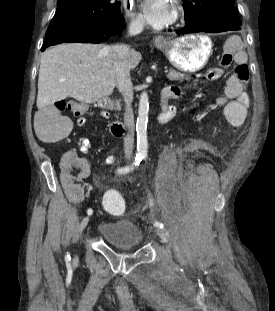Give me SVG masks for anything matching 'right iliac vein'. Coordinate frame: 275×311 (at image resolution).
Returning a JSON list of instances; mask_svg holds the SVG:
<instances>
[{
    "label": "right iliac vein",
    "instance_id": "63e3f726",
    "mask_svg": "<svg viewBox=\"0 0 275 311\" xmlns=\"http://www.w3.org/2000/svg\"><path fill=\"white\" fill-rule=\"evenodd\" d=\"M88 222H89V217L87 216L81 221L80 226H79V232H82L86 228Z\"/></svg>",
    "mask_w": 275,
    "mask_h": 311
}]
</instances>
